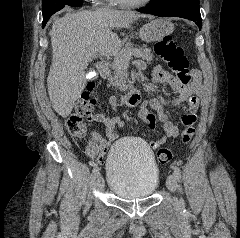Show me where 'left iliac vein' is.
<instances>
[{
	"label": "left iliac vein",
	"instance_id": "1",
	"mask_svg": "<svg viewBox=\"0 0 240 238\" xmlns=\"http://www.w3.org/2000/svg\"><path fill=\"white\" fill-rule=\"evenodd\" d=\"M166 185L167 188L171 191V192H175L176 188H177V179L173 174H170L167 177L166 180ZM174 206L179 208L180 207V201L177 198H174Z\"/></svg>",
	"mask_w": 240,
	"mask_h": 238
}]
</instances>
